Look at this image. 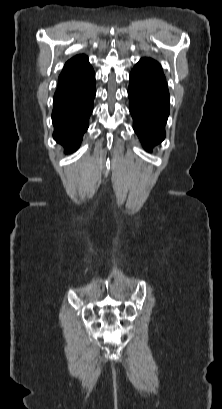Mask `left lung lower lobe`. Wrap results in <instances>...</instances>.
Masks as SVG:
<instances>
[{
    "instance_id": "left-lung-lower-lobe-1",
    "label": "left lung lower lobe",
    "mask_w": 222,
    "mask_h": 409,
    "mask_svg": "<svg viewBox=\"0 0 222 409\" xmlns=\"http://www.w3.org/2000/svg\"><path fill=\"white\" fill-rule=\"evenodd\" d=\"M128 96L134 131L150 151L165 138L170 101L165 78L132 69Z\"/></svg>"
}]
</instances>
